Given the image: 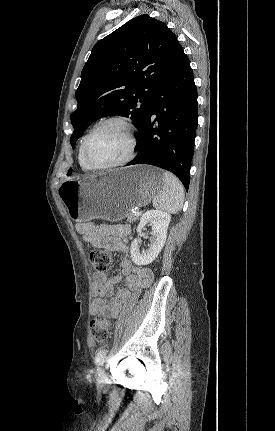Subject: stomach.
Segmentation results:
<instances>
[{"instance_id":"1","label":"stomach","mask_w":275,"mask_h":431,"mask_svg":"<svg viewBox=\"0 0 275 431\" xmlns=\"http://www.w3.org/2000/svg\"><path fill=\"white\" fill-rule=\"evenodd\" d=\"M162 187L160 169L137 165L81 179H67L59 186L58 194L75 222L94 218L118 221L131 209L148 204Z\"/></svg>"}]
</instances>
